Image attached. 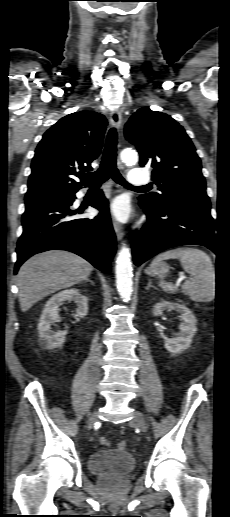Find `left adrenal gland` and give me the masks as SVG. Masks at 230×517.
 Segmentation results:
<instances>
[{
    "mask_svg": "<svg viewBox=\"0 0 230 517\" xmlns=\"http://www.w3.org/2000/svg\"><path fill=\"white\" fill-rule=\"evenodd\" d=\"M150 287H153V286L151 285V281H149V282H148V285L146 286V288H145V289H146V290H149V288H150ZM153 288H154V287H153Z\"/></svg>",
    "mask_w": 230,
    "mask_h": 517,
    "instance_id": "1",
    "label": "left adrenal gland"
}]
</instances>
